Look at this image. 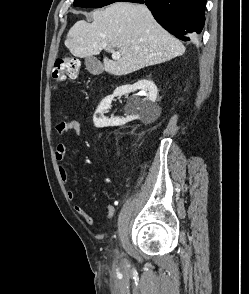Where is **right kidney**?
Wrapping results in <instances>:
<instances>
[{"mask_svg":"<svg viewBox=\"0 0 249 294\" xmlns=\"http://www.w3.org/2000/svg\"><path fill=\"white\" fill-rule=\"evenodd\" d=\"M148 91L147 97L143 100L134 98L130 101V110L125 118L111 117L106 118L104 113L111 107L114 97L137 90ZM157 87L153 81L142 79L133 85H123L115 89L112 95L105 97L99 104L94 116L93 122L95 127L103 128L109 126H122L129 121L139 119L143 122H153L160 116V107L155 103L157 97Z\"/></svg>","mask_w":249,"mask_h":294,"instance_id":"ca27d5eb","label":"right kidney"}]
</instances>
